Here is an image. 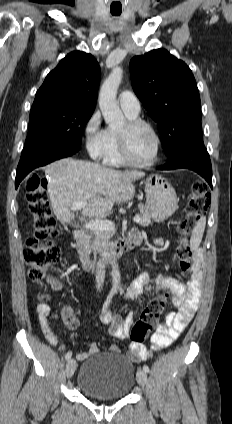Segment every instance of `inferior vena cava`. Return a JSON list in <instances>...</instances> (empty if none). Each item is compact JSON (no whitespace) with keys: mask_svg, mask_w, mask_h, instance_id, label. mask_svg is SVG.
Returning a JSON list of instances; mask_svg holds the SVG:
<instances>
[{"mask_svg":"<svg viewBox=\"0 0 232 424\" xmlns=\"http://www.w3.org/2000/svg\"><path fill=\"white\" fill-rule=\"evenodd\" d=\"M105 279V270L104 265L101 262H98L97 264V271H96V288L97 290H101L104 284Z\"/></svg>","mask_w":232,"mask_h":424,"instance_id":"inferior-vena-cava-1","label":"inferior vena cava"}]
</instances>
